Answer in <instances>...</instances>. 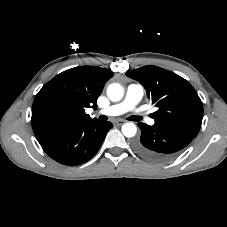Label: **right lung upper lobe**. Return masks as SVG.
Wrapping results in <instances>:
<instances>
[{
  "mask_svg": "<svg viewBox=\"0 0 227 227\" xmlns=\"http://www.w3.org/2000/svg\"><path fill=\"white\" fill-rule=\"evenodd\" d=\"M113 72L95 66L68 69L46 83L32 106V128L39 143L70 127L95 122L85 113L97 107V98Z\"/></svg>",
  "mask_w": 227,
  "mask_h": 227,
  "instance_id": "obj_1",
  "label": "right lung upper lobe"
}]
</instances>
